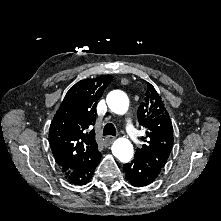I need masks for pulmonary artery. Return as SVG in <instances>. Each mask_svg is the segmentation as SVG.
<instances>
[{"mask_svg":"<svg viewBox=\"0 0 221 221\" xmlns=\"http://www.w3.org/2000/svg\"><path fill=\"white\" fill-rule=\"evenodd\" d=\"M123 124H124V128H125V131H126L127 135L131 139L137 140L138 138H137V134H136V131H135L134 124H133V119L129 114L125 115V117L123 119Z\"/></svg>","mask_w":221,"mask_h":221,"instance_id":"obj_1","label":"pulmonary artery"}]
</instances>
